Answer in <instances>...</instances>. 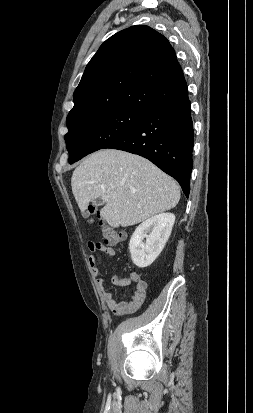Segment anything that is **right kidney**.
I'll return each instance as SVG.
<instances>
[{"label": "right kidney", "instance_id": "ca27d5eb", "mask_svg": "<svg viewBox=\"0 0 253 413\" xmlns=\"http://www.w3.org/2000/svg\"><path fill=\"white\" fill-rule=\"evenodd\" d=\"M174 222V214L162 213L147 219L136 228L129 242L131 259L136 266L148 267L155 261L169 239Z\"/></svg>", "mask_w": 253, "mask_h": 413}]
</instances>
